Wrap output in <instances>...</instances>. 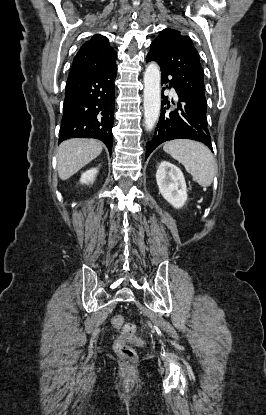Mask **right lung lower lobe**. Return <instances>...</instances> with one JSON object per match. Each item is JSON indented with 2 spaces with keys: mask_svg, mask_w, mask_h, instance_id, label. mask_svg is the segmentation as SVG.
Returning a JSON list of instances; mask_svg holds the SVG:
<instances>
[{
  "mask_svg": "<svg viewBox=\"0 0 266 415\" xmlns=\"http://www.w3.org/2000/svg\"><path fill=\"white\" fill-rule=\"evenodd\" d=\"M116 65L110 70L67 81L59 143L69 138H96L109 153L113 144Z\"/></svg>",
  "mask_w": 266,
  "mask_h": 415,
  "instance_id": "98d812e1",
  "label": "right lung lower lobe"
}]
</instances>
